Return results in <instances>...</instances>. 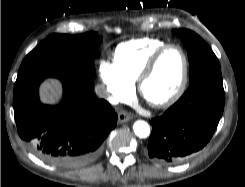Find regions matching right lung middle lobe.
<instances>
[{"label": "right lung middle lobe", "mask_w": 245, "mask_h": 187, "mask_svg": "<svg viewBox=\"0 0 245 187\" xmlns=\"http://www.w3.org/2000/svg\"><path fill=\"white\" fill-rule=\"evenodd\" d=\"M102 38L96 32L52 34L23 60L19 71L38 65L61 66L95 75L94 56Z\"/></svg>", "instance_id": "1"}]
</instances>
